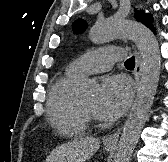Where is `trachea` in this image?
<instances>
[{"mask_svg":"<svg viewBox=\"0 0 168 162\" xmlns=\"http://www.w3.org/2000/svg\"><path fill=\"white\" fill-rule=\"evenodd\" d=\"M125 66L127 68H134V66H135V58L132 56L131 58L127 59L125 61Z\"/></svg>","mask_w":168,"mask_h":162,"instance_id":"3493384b","label":"trachea"}]
</instances>
